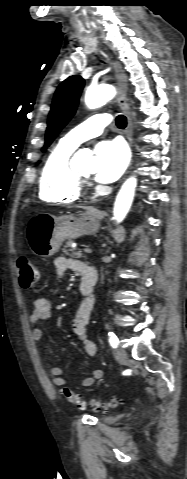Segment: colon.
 I'll use <instances>...</instances> for the list:
<instances>
[{"label": "colon", "instance_id": "5ec220e1", "mask_svg": "<svg viewBox=\"0 0 187 479\" xmlns=\"http://www.w3.org/2000/svg\"><path fill=\"white\" fill-rule=\"evenodd\" d=\"M16 266L19 275V284L22 288L28 289L33 286V284L38 280L39 273L36 267L32 264L30 259L25 256H21L16 261ZM62 395L69 401L71 404L82 409L85 407V403L79 399V397L71 391L69 388L62 389ZM117 401L114 400L113 404H116ZM97 407H100L99 404H96ZM106 406H103V409H106Z\"/></svg>", "mask_w": 187, "mask_h": 479}]
</instances>
